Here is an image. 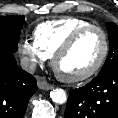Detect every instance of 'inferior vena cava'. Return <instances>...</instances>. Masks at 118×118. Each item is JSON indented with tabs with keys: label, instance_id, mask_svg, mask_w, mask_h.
I'll list each match as a JSON object with an SVG mask.
<instances>
[{
	"label": "inferior vena cava",
	"instance_id": "obj_1",
	"mask_svg": "<svg viewBox=\"0 0 118 118\" xmlns=\"http://www.w3.org/2000/svg\"><path fill=\"white\" fill-rule=\"evenodd\" d=\"M20 64L22 69L29 73H34L37 66L36 62L33 59L26 57L21 60Z\"/></svg>",
	"mask_w": 118,
	"mask_h": 118
}]
</instances>
